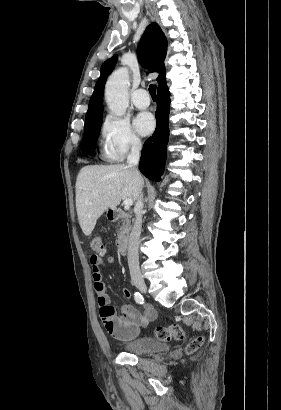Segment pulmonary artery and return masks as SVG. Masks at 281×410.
<instances>
[{"label": "pulmonary artery", "mask_w": 281, "mask_h": 410, "mask_svg": "<svg viewBox=\"0 0 281 410\" xmlns=\"http://www.w3.org/2000/svg\"><path fill=\"white\" fill-rule=\"evenodd\" d=\"M133 104L139 109H145L150 105L149 94L145 89H138L132 95Z\"/></svg>", "instance_id": "1"}]
</instances>
